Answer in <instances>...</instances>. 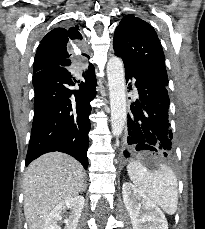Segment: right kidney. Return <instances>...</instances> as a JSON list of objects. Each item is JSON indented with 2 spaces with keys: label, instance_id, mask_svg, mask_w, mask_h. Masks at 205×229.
I'll return each instance as SVG.
<instances>
[{
  "label": "right kidney",
  "instance_id": "obj_1",
  "mask_svg": "<svg viewBox=\"0 0 205 229\" xmlns=\"http://www.w3.org/2000/svg\"><path fill=\"white\" fill-rule=\"evenodd\" d=\"M84 201L85 200L83 196H76L60 202L49 213L44 223L43 229H61L59 226V221L64 218L67 210H70V213L68 217L63 220L65 223L64 229H76L78 220L84 207Z\"/></svg>",
  "mask_w": 205,
  "mask_h": 229
}]
</instances>
